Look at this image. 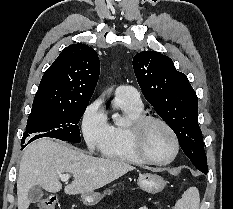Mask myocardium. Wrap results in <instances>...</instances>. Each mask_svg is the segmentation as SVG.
Returning <instances> with one entry per match:
<instances>
[{"mask_svg":"<svg viewBox=\"0 0 233 209\" xmlns=\"http://www.w3.org/2000/svg\"><path fill=\"white\" fill-rule=\"evenodd\" d=\"M151 123L160 124L168 131V133L172 137L174 150L172 155L167 160L164 161L154 160L150 158L144 150L143 141H144L145 131L148 125ZM129 131H130L131 147L134 153L137 155V157L144 163L157 165V166H166L172 163L179 153L180 144L176 132L168 122H166L164 119L160 117L143 114L130 123Z\"/></svg>","mask_w":233,"mask_h":209,"instance_id":"obj_1","label":"myocardium"}]
</instances>
